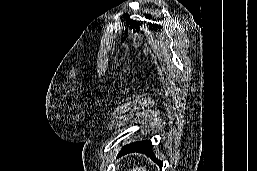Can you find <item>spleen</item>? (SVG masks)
<instances>
[{
  "label": "spleen",
  "instance_id": "spleen-1",
  "mask_svg": "<svg viewBox=\"0 0 257 171\" xmlns=\"http://www.w3.org/2000/svg\"><path fill=\"white\" fill-rule=\"evenodd\" d=\"M129 171H147L145 167H133V169L129 170Z\"/></svg>",
  "mask_w": 257,
  "mask_h": 171
}]
</instances>
